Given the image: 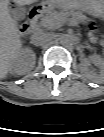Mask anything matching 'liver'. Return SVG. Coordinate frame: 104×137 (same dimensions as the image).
Returning <instances> with one entry per match:
<instances>
[{
    "mask_svg": "<svg viewBox=\"0 0 104 137\" xmlns=\"http://www.w3.org/2000/svg\"><path fill=\"white\" fill-rule=\"evenodd\" d=\"M6 1V3L4 2ZM39 0H14L19 5H29ZM58 5H66L76 0H50ZM20 31L16 20L12 17L8 8V1L1 0L0 10V77L5 78L11 68L13 60L21 50Z\"/></svg>",
    "mask_w": 104,
    "mask_h": 137,
    "instance_id": "obj_1",
    "label": "liver"
}]
</instances>
